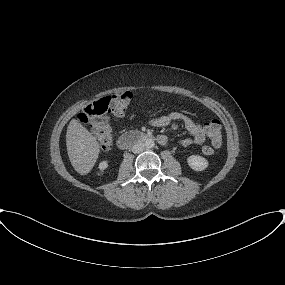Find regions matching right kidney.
I'll return each instance as SVG.
<instances>
[{"mask_svg":"<svg viewBox=\"0 0 285 285\" xmlns=\"http://www.w3.org/2000/svg\"><path fill=\"white\" fill-rule=\"evenodd\" d=\"M107 167H108L107 161L100 162L98 166V169H99L98 175H101Z\"/></svg>","mask_w":285,"mask_h":285,"instance_id":"obj_1","label":"right kidney"}]
</instances>
